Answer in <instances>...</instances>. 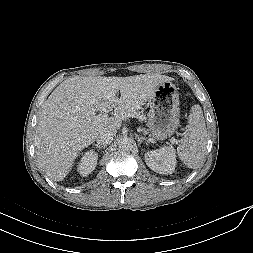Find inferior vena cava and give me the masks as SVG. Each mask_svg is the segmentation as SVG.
<instances>
[{
	"mask_svg": "<svg viewBox=\"0 0 253 253\" xmlns=\"http://www.w3.org/2000/svg\"><path fill=\"white\" fill-rule=\"evenodd\" d=\"M116 130L112 127H105L98 131L96 136V142L98 144H109L113 141L114 136L116 135Z\"/></svg>",
	"mask_w": 253,
	"mask_h": 253,
	"instance_id": "obj_1",
	"label": "inferior vena cava"
}]
</instances>
